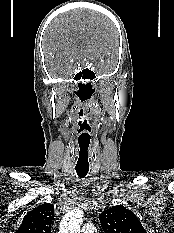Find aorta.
I'll return each mask as SVG.
<instances>
[{"instance_id": "aorta-1", "label": "aorta", "mask_w": 174, "mask_h": 233, "mask_svg": "<svg viewBox=\"0 0 174 233\" xmlns=\"http://www.w3.org/2000/svg\"><path fill=\"white\" fill-rule=\"evenodd\" d=\"M83 216L84 213L80 209L67 212L60 223L59 233H80Z\"/></svg>"}]
</instances>
